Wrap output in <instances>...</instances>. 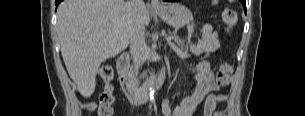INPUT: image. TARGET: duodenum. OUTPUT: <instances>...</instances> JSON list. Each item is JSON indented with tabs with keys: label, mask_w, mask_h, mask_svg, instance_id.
I'll return each mask as SVG.
<instances>
[{
	"label": "duodenum",
	"mask_w": 305,
	"mask_h": 116,
	"mask_svg": "<svg viewBox=\"0 0 305 116\" xmlns=\"http://www.w3.org/2000/svg\"><path fill=\"white\" fill-rule=\"evenodd\" d=\"M118 80L122 92L133 105H141L145 103L151 91L159 88L165 79V67L159 68L152 79L143 86H137L129 74V57L127 54H122L117 59Z\"/></svg>",
	"instance_id": "obj_1"
}]
</instances>
